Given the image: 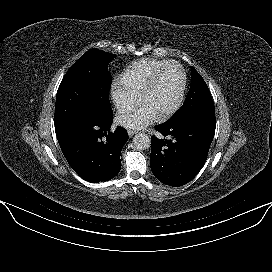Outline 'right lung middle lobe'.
Returning <instances> with one entry per match:
<instances>
[{"instance_id": "right-lung-middle-lobe-1", "label": "right lung middle lobe", "mask_w": 272, "mask_h": 272, "mask_svg": "<svg viewBox=\"0 0 272 272\" xmlns=\"http://www.w3.org/2000/svg\"><path fill=\"white\" fill-rule=\"evenodd\" d=\"M114 57V54L91 49L67 71L56 96V135L85 114L105 117L113 113L109 101L111 74L108 64Z\"/></svg>"}]
</instances>
